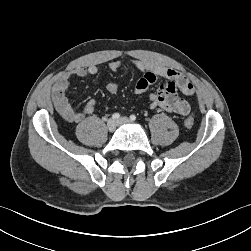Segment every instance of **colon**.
Masks as SVG:
<instances>
[{
  "instance_id": "1",
  "label": "colon",
  "mask_w": 251,
  "mask_h": 251,
  "mask_svg": "<svg viewBox=\"0 0 251 251\" xmlns=\"http://www.w3.org/2000/svg\"><path fill=\"white\" fill-rule=\"evenodd\" d=\"M184 125L186 128H192L193 125H194V120L192 117H187L185 120H184Z\"/></svg>"
}]
</instances>
